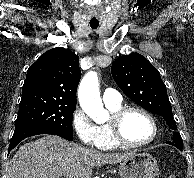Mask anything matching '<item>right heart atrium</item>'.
<instances>
[{"label": "right heart atrium", "instance_id": "right-heart-atrium-1", "mask_svg": "<svg viewBox=\"0 0 194 178\" xmlns=\"http://www.w3.org/2000/svg\"><path fill=\"white\" fill-rule=\"evenodd\" d=\"M71 126L78 140L83 145L96 146L98 139L97 126L79 107H77L72 113Z\"/></svg>", "mask_w": 194, "mask_h": 178}]
</instances>
